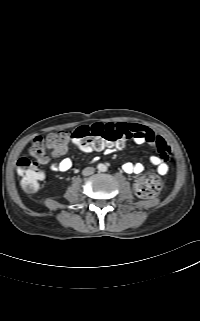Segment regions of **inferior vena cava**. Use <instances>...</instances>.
<instances>
[{
    "mask_svg": "<svg viewBox=\"0 0 200 321\" xmlns=\"http://www.w3.org/2000/svg\"><path fill=\"white\" fill-rule=\"evenodd\" d=\"M95 169L93 167H86L83 171L82 174L84 176H89L92 175L94 173Z\"/></svg>",
    "mask_w": 200,
    "mask_h": 321,
    "instance_id": "1",
    "label": "inferior vena cava"
}]
</instances>
